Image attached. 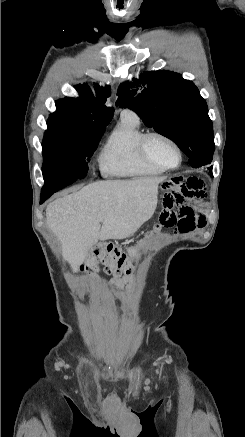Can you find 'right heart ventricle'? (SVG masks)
<instances>
[{"label": "right heart ventricle", "mask_w": 245, "mask_h": 437, "mask_svg": "<svg viewBox=\"0 0 245 437\" xmlns=\"http://www.w3.org/2000/svg\"><path fill=\"white\" fill-rule=\"evenodd\" d=\"M144 134L136 117L122 116L103 150L102 171L118 177L162 174L165 170L148 163L140 154L139 141Z\"/></svg>", "instance_id": "1"}]
</instances>
